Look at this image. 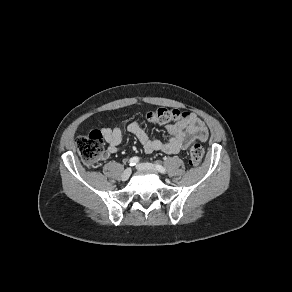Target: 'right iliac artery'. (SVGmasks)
Here are the masks:
<instances>
[{
    "mask_svg": "<svg viewBox=\"0 0 292 292\" xmlns=\"http://www.w3.org/2000/svg\"><path fill=\"white\" fill-rule=\"evenodd\" d=\"M139 162V158L134 156L129 160V165L130 166H135Z\"/></svg>",
    "mask_w": 292,
    "mask_h": 292,
    "instance_id": "obj_1",
    "label": "right iliac artery"
}]
</instances>
